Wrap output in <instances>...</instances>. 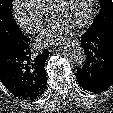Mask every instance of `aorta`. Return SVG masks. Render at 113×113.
I'll use <instances>...</instances> for the list:
<instances>
[{
  "label": "aorta",
  "mask_w": 113,
  "mask_h": 113,
  "mask_svg": "<svg viewBox=\"0 0 113 113\" xmlns=\"http://www.w3.org/2000/svg\"><path fill=\"white\" fill-rule=\"evenodd\" d=\"M64 56L74 65L81 66L86 59V53L80 45L68 43L64 48Z\"/></svg>",
  "instance_id": "obj_1"
}]
</instances>
